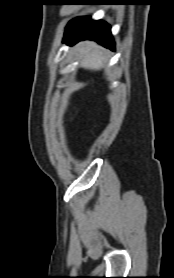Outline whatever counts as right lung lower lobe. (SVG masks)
I'll return each mask as SVG.
<instances>
[{
    "label": "right lung lower lobe",
    "instance_id": "1",
    "mask_svg": "<svg viewBox=\"0 0 174 278\" xmlns=\"http://www.w3.org/2000/svg\"><path fill=\"white\" fill-rule=\"evenodd\" d=\"M85 39L95 40L114 50L110 26L104 21H93L89 17H78L72 20L67 26L64 41L75 44Z\"/></svg>",
    "mask_w": 174,
    "mask_h": 278
}]
</instances>
